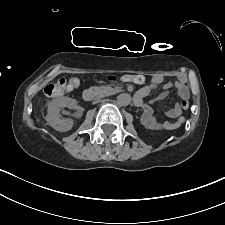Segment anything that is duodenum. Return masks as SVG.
<instances>
[{
    "instance_id": "duodenum-1",
    "label": "duodenum",
    "mask_w": 225,
    "mask_h": 225,
    "mask_svg": "<svg viewBox=\"0 0 225 225\" xmlns=\"http://www.w3.org/2000/svg\"><path fill=\"white\" fill-rule=\"evenodd\" d=\"M100 96V92L98 90H95V89H86L84 92H83V98L86 100V101H91L97 97ZM134 102L135 104L137 105V102H138V99L137 97H134ZM138 106V105H137Z\"/></svg>"
}]
</instances>
